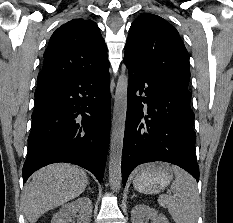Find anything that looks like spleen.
Segmentation results:
<instances>
[{"label":"spleen","mask_w":233,"mask_h":223,"mask_svg":"<svg viewBox=\"0 0 233 223\" xmlns=\"http://www.w3.org/2000/svg\"><path fill=\"white\" fill-rule=\"evenodd\" d=\"M173 169L176 177L171 191L174 195L162 193L158 197V203L162 207H168L175 223H196V217L200 213V195L195 179L180 167L174 165Z\"/></svg>","instance_id":"spleen-1"}]
</instances>
